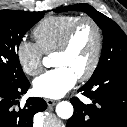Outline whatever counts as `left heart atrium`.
Instances as JSON below:
<instances>
[{"instance_id": "left-heart-atrium-1", "label": "left heart atrium", "mask_w": 127, "mask_h": 127, "mask_svg": "<svg viewBox=\"0 0 127 127\" xmlns=\"http://www.w3.org/2000/svg\"><path fill=\"white\" fill-rule=\"evenodd\" d=\"M77 77L65 67H56L47 71L33 83L37 95L45 98H60L76 83Z\"/></svg>"}]
</instances>
